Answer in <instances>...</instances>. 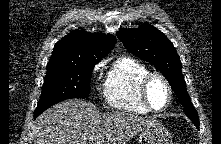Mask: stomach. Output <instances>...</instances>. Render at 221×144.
<instances>
[{
  "label": "stomach",
  "instance_id": "obj_1",
  "mask_svg": "<svg viewBox=\"0 0 221 144\" xmlns=\"http://www.w3.org/2000/svg\"><path fill=\"white\" fill-rule=\"evenodd\" d=\"M138 144H172V134L157 122L141 131Z\"/></svg>",
  "mask_w": 221,
  "mask_h": 144
}]
</instances>
